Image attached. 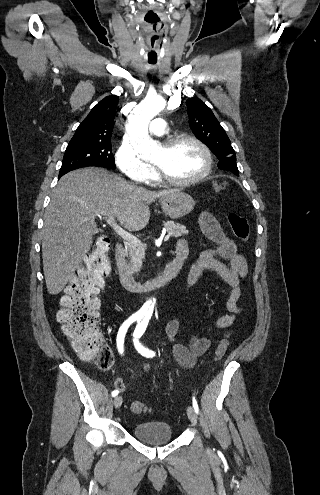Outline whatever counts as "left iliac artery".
Wrapping results in <instances>:
<instances>
[{
    "label": "left iliac artery",
    "instance_id": "obj_1",
    "mask_svg": "<svg viewBox=\"0 0 320 495\" xmlns=\"http://www.w3.org/2000/svg\"><path fill=\"white\" fill-rule=\"evenodd\" d=\"M148 322H149L148 319H143V320L139 321V323L137 324L136 329L134 331V334H133V336H134L133 341H134V345H135L137 351L141 355H143V356H145L147 358H149V357L151 358V357H154L155 356V352L152 351V350H150V349H148V348H146V347H144V346H142L139 343V341H138V338H140L143 335V333L145 332V330L147 328V325H148ZM192 400H193L194 410L198 414L199 407H198V404H197V401H196L195 397H193Z\"/></svg>",
    "mask_w": 320,
    "mask_h": 495
}]
</instances>
